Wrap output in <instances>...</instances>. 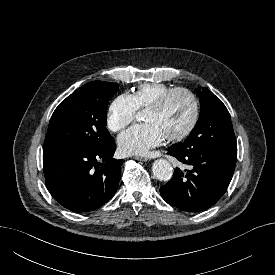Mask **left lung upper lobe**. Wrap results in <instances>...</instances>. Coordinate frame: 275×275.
<instances>
[{
  "mask_svg": "<svg viewBox=\"0 0 275 275\" xmlns=\"http://www.w3.org/2000/svg\"><path fill=\"white\" fill-rule=\"evenodd\" d=\"M200 117L189 137L174 146L179 150L206 148L237 152L230 114L225 105L207 88L199 94Z\"/></svg>",
  "mask_w": 275,
  "mask_h": 275,
  "instance_id": "5c2ea615",
  "label": "left lung upper lobe"
}]
</instances>
